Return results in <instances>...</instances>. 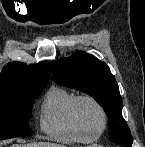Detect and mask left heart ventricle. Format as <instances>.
<instances>
[{"instance_id":"1","label":"left heart ventricle","mask_w":145,"mask_h":147,"mask_svg":"<svg viewBox=\"0 0 145 147\" xmlns=\"http://www.w3.org/2000/svg\"><path fill=\"white\" fill-rule=\"evenodd\" d=\"M80 117L88 134L93 135L99 132L102 126V119L99 111L92 103L83 102L80 105Z\"/></svg>"}]
</instances>
